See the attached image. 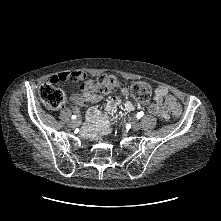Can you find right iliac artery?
Here are the masks:
<instances>
[{"label": "right iliac artery", "mask_w": 221, "mask_h": 221, "mask_svg": "<svg viewBox=\"0 0 221 221\" xmlns=\"http://www.w3.org/2000/svg\"><path fill=\"white\" fill-rule=\"evenodd\" d=\"M72 119H76V116L75 115H72V117H71Z\"/></svg>", "instance_id": "82829eb1"}]
</instances>
